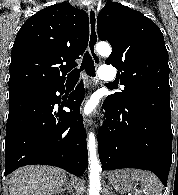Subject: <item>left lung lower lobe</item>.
<instances>
[{
  "mask_svg": "<svg viewBox=\"0 0 178 195\" xmlns=\"http://www.w3.org/2000/svg\"><path fill=\"white\" fill-rule=\"evenodd\" d=\"M103 107L108 115L98 131L102 169L149 170L166 186L172 162L171 112L134 103L116 108L107 98Z\"/></svg>",
  "mask_w": 178,
  "mask_h": 195,
  "instance_id": "obj_1",
  "label": "left lung lower lobe"
}]
</instances>
